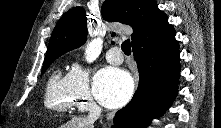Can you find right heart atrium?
<instances>
[{"label":"right heart atrium","instance_id":"obj_1","mask_svg":"<svg viewBox=\"0 0 221 128\" xmlns=\"http://www.w3.org/2000/svg\"><path fill=\"white\" fill-rule=\"evenodd\" d=\"M69 83L76 98V108L94 107L90 94V71L81 63L75 62L68 73Z\"/></svg>","mask_w":221,"mask_h":128}]
</instances>
